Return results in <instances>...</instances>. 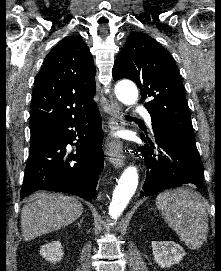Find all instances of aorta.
Listing matches in <instances>:
<instances>
[{
  "instance_id": "762f6f07",
  "label": "aorta",
  "mask_w": 221,
  "mask_h": 271,
  "mask_svg": "<svg viewBox=\"0 0 221 271\" xmlns=\"http://www.w3.org/2000/svg\"><path fill=\"white\" fill-rule=\"evenodd\" d=\"M115 94L120 102L125 105H133L138 99L136 85L128 80L121 81L115 86ZM138 186V171L134 166L127 167L118 180L112 201L109 206V215L116 219L127 207Z\"/></svg>"
}]
</instances>
